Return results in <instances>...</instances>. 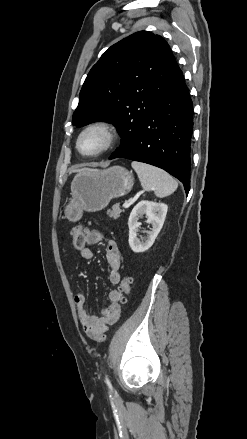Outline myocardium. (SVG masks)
Segmentation results:
<instances>
[{
    "mask_svg": "<svg viewBox=\"0 0 247 439\" xmlns=\"http://www.w3.org/2000/svg\"><path fill=\"white\" fill-rule=\"evenodd\" d=\"M92 130L102 131L105 135V142H104L103 146L100 149H98L97 151H94L91 153H85L82 151V149L80 147V142H81V139L83 138V136ZM117 139H118V130H117L116 126L108 120L98 119V120H94V121L88 123L81 130V132L79 133L77 140H76V148L82 156L96 157V156H99L102 153L108 151L109 149H111L114 146V144L116 143Z\"/></svg>",
    "mask_w": 247,
    "mask_h": 439,
    "instance_id": "obj_1",
    "label": "myocardium"
}]
</instances>
